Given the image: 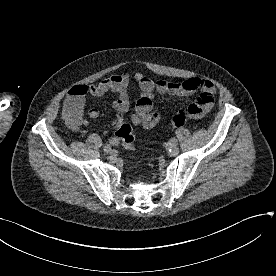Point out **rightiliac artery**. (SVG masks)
<instances>
[{
  "label": "right iliac artery",
  "mask_w": 276,
  "mask_h": 276,
  "mask_svg": "<svg viewBox=\"0 0 276 276\" xmlns=\"http://www.w3.org/2000/svg\"><path fill=\"white\" fill-rule=\"evenodd\" d=\"M109 143H110L111 145H117V144H118V140H117L116 138H110V139H109Z\"/></svg>",
  "instance_id": "82829eb1"
}]
</instances>
